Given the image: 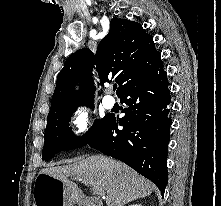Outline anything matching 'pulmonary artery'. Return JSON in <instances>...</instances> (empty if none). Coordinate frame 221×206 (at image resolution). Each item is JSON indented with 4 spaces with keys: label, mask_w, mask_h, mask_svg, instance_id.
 Wrapping results in <instances>:
<instances>
[{
    "label": "pulmonary artery",
    "mask_w": 221,
    "mask_h": 206,
    "mask_svg": "<svg viewBox=\"0 0 221 206\" xmlns=\"http://www.w3.org/2000/svg\"><path fill=\"white\" fill-rule=\"evenodd\" d=\"M114 103H115L114 98L110 95H107L103 98V105L106 108H112Z\"/></svg>",
    "instance_id": "1"
}]
</instances>
